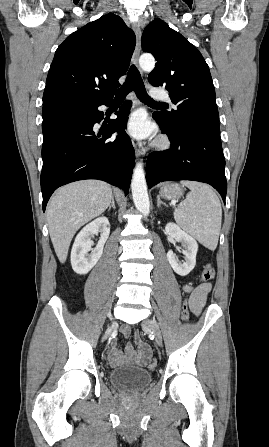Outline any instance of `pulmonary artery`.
Wrapping results in <instances>:
<instances>
[{
    "label": "pulmonary artery",
    "mask_w": 269,
    "mask_h": 447,
    "mask_svg": "<svg viewBox=\"0 0 269 447\" xmlns=\"http://www.w3.org/2000/svg\"><path fill=\"white\" fill-rule=\"evenodd\" d=\"M155 99H166L167 92L165 90H155L154 94H151ZM174 108L176 106L173 105Z\"/></svg>",
    "instance_id": "pulmonary-artery-1"
}]
</instances>
